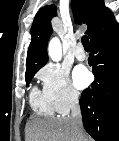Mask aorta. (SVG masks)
Listing matches in <instances>:
<instances>
[{"mask_svg": "<svg viewBox=\"0 0 119 141\" xmlns=\"http://www.w3.org/2000/svg\"><path fill=\"white\" fill-rule=\"evenodd\" d=\"M48 54L53 61H59L62 57L61 43L58 38H52L48 45Z\"/></svg>", "mask_w": 119, "mask_h": 141, "instance_id": "aorta-1", "label": "aorta"}]
</instances>
